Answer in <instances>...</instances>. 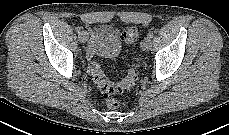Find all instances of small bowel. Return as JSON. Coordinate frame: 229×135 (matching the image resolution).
<instances>
[{
  "label": "small bowel",
  "mask_w": 229,
  "mask_h": 135,
  "mask_svg": "<svg viewBox=\"0 0 229 135\" xmlns=\"http://www.w3.org/2000/svg\"><path fill=\"white\" fill-rule=\"evenodd\" d=\"M103 31L107 35L108 45L104 49H101L99 52L103 56L115 57L120 49V44L118 41V30L113 26L108 25L104 27ZM90 49L91 51H95L97 47L96 45L92 44Z\"/></svg>",
  "instance_id": "small-bowel-1"
}]
</instances>
